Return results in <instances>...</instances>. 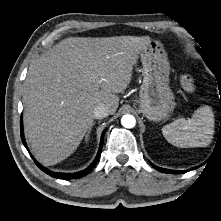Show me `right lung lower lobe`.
<instances>
[{
  "mask_svg": "<svg viewBox=\"0 0 221 221\" xmlns=\"http://www.w3.org/2000/svg\"><path fill=\"white\" fill-rule=\"evenodd\" d=\"M20 132H21V139H22V142L24 144V146L26 147V149L28 150L27 148V145H26V142H25V139H24V134H23V125H22V120L20 122ZM104 134H105V130L103 131L102 133V137H101V142H100V147H99V151H98V154L95 158V160L93 161V163L85 170L83 171H80V172H76V173H57V172H52L48 169H46L45 167H43L42 165H40L38 162H36L35 160V163L37 164V166L42 170L44 171L46 174L54 177V178H58V179H76V178H80V177H83L85 175H87L92 169L93 167L95 166V164L97 163L98 159H99V156L102 152V146H103V140H104ZM34 159V158H33Z\"/></svg>",
  "mask_w": 221,
  "mask_h": 221,
  "instance_id": "98d812e1",
  "label": "right lung lower lobe"
}]
</instances>
